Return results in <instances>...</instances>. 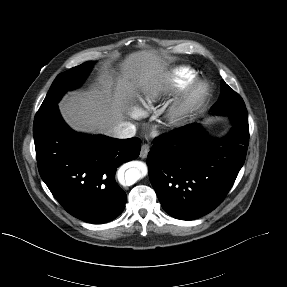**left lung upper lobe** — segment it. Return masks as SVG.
Returning <instances> with one entry per match:
<instances>
[{"instance_id":"1","label":"left lung upper lobe","mask_w":287,"mask_h":287,"mask_svg":"<svg viewBox=\"0 0 287 287\" xmlns=\"http://www.w3.org/2000/svg\"><path fill=\"white\" fill-rule=\"evenodd\" d=\"M211 110L215 114L231 116L234 122H248V113L243 99L224 80L221 81L220 97Z\"/></svg>"}]
</instances>
